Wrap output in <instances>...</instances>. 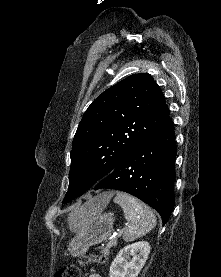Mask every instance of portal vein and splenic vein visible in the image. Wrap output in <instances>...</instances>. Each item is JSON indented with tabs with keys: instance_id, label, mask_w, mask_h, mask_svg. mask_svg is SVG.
Segmentation results:
<instances>
[{
	"instance_id": "portal-vein-and-splenic-vein-1",
	"label": "portal vein and splenic vein",
	"mask_w": 221,
	"mask_h": 277,
	"mask_svg": "<svg viewBox=\"0 0 221 277\" xmlns=\"http://www.w3.org/2000/svg\"><path fill=\"white\" fill-rule=\"evenodd\" d=\"M118 235V232H115L111 238V240L109 241V243L107 244L106 248H111L113 246V244L116 241V236Z\"/></svg>"
}]
</instances>
